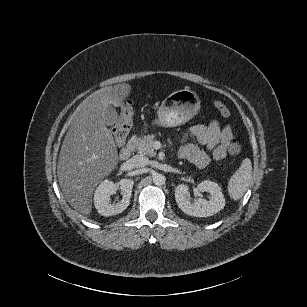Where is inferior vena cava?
I'll return each instance as SVG.
<instances>
[{
    "instance_id": "1",
    "label": "inferior vena cava",
    "mask_w": 307,
    "mask_h": 307,
    "mask_svg": "<svg viewBox=\"0 0 307 307\" xmlns=\"http://www.w3.org/2000/svg\"><path fill=\"white\" fill-rule=\"evenodd\" d=\"M131 163L135 167H145L146 165H148L149 160L143 155H135L131 158Z\"/></svg>"
}]
</instances>
